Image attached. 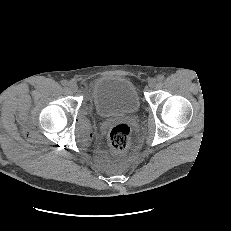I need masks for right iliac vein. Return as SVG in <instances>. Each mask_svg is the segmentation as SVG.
Listing matches in <instances>:
<instances>
[{"instance_id":"obj_1","label":"right iliac vein","mask_w":231,"mask_h":231,"mask_svg":"<svg viewBox=\"0 0 231 231\" xmlns=\"http://www.w3.org/2000/svg\"><path fill=\"white\" fill-rule=\"evenodd\" d=\"M69 90L76 92L78 90V85L75 82H70L68 84Z\"/></svg>"}]
</instances>
